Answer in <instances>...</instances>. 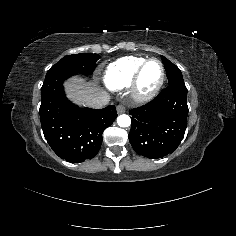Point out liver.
Instances as JSON below:
<instances>
[{
    "label": "liver",
    "instance_id": "obj_1",
    "mask_svg": "<svg viewBox=\"0 0 236 236\" xmlns=\"http://www.w3.org/2000/svg\"><path fill=\"white\" fill-rule=\"evenodd\" d=\"M67 97L77 104H84L93 97L108 95L106 91L97 87H92L90 83H85L83 79L72 77L64 83Z\"/></svg>",
    "mask_w": 236,
    "mask_h": 236
}]
</instances>
